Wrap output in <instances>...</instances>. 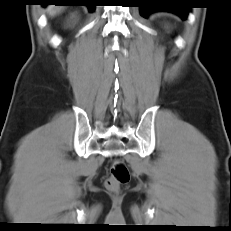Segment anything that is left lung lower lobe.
I'll return each mask as SVG.
<instances>
[{
    "label": "left lung lower lobe",
    "mask_w": 231,
    "mask_h": 231,
    "mask_svg": "<svg viewBox=\"0 0 231 231\" xmlns=\"http://www.w3.org/2000/svg\"><path fill=\"white\" fill-rule=\"evenodd\" d=\"M137 2L143 17L155 11H169L186 19L190 10V7L184 4V0H138Z\"/></svg>",
    "instance_id": "left-lung-lower-lobe-1"
}]
</instances>
